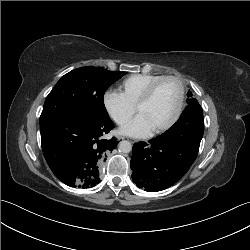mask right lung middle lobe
Returning <instances> with one entry per match:
<instances>
[{
	"label": "right lung middle lobe",
	"mask_w": 250,
	"mask_h": 250,
	"mask_svg": "<svg viewBox=\"0 0 250 250\" xmlns=\"http://www.w3.org/2000/svg\"><path fill=\"white\" fill-rule=\"evenodd\" d=\"M126 72L82 67L65 74L47 96L40 124L63 116L107 117L104 93Z\"/></svg>",
	"instance_id": "obj_1"
}]
</instances>
